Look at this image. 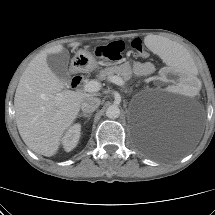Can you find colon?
I'll return each instance as SVG.
<instances>
[{"label":"colon","instance_id":"5ec220e1","mask_svg":"<svg viewBox=\"0 0 215 215\" xmlns=\"http://www.w3.org/2000/svg\"><path fill=\"white\" fill-rule=\"evenodd\" d=\"M131 47L138 55H145L143 43L139 38L132 40ZM125 49V45L122 41H114L106 45L97 46L95 48V54L100 58H105L111 61H117L121 58V55Z\"/></svg>","mask_w":215,"mask_h":215}]
</instances>
